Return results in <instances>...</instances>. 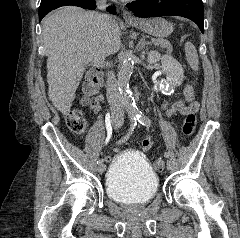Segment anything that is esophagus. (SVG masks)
<instances>
[{
	"label": "esophagus",
	"mask_w": 240,
	"mask_h": 238,
	"mask_svg": "<svg viewBox=\"0 0 240 238\" xmlns=\"http://www.w3.org/2000/svg\"><path fill=\"white\" fill-rule=\"evenodd\" d=\"M122 16L125 20H135V16L131 11L123 10Z\"/></svg>",
	"instance_id": "esophagus-1"
}]
</instances>
